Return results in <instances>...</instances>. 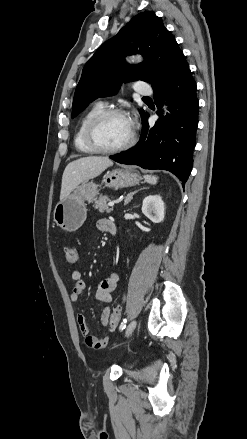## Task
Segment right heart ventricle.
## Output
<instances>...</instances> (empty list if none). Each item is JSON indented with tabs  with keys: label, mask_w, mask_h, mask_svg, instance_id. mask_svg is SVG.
Masks as SVG:
<instances>
[{
	"label": "right heart ventricle",
	"mask_w": 247,
	"mask_h": 439,
	"mask_svg": "<svg viewBox=\"0 0 247 439\" xmlns=\"http://www.w3.org/2000/svg\"><path fill=\"white\" fill-rule=\"evenodd\" d=\"M105 106L102 103L93 105L80 119L78 127L74 135V146L77 151L84 154L96 153L87 143L85 138V131L89 121L100 111L104 110Z\"/></svg>",
	"instance_id": "e07e8e85"
}]
</instances>
